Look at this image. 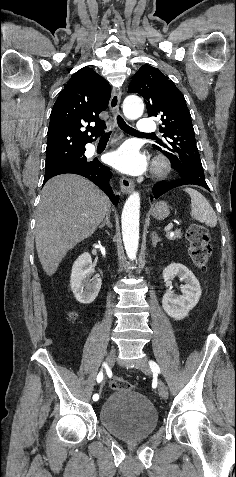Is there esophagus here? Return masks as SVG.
Here are the masks:
<instances>
[{
  "label": "esophagus",
  "mask_w": 236,
  "mask_h": 477,
  "mask_svg": "<svg viewBox=\"0 0 236 477\" xmlns=\"http://www.w3.org/2000/svg\"><path fill=\"white\" fill-rule=\"evenodd\" d=\"M120 100L121 92L114 90L110 98L109 108L115 116L119 114ZM120 188L124 194H128L134 189V183L132 180L122 177L120 179Z\"/></svg>",
  "instance_id": "esophagus-1"
}]
</instances>
